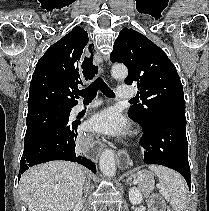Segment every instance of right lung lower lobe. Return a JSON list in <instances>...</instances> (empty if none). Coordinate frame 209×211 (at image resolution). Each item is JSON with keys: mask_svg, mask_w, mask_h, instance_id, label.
Returning a JSON list of instances; mask_svg holds the SVG:
<instances>
[{"mask_svg": "<svg viewBox=\"0 0 209 211\" xmlns=\"http://www.w3.org/2000/svg\"><path fill=\"white\" fill-rule=\"evenodd\" d=\"M79 124V120L64 122L24 147L18 178L29 167L52 160L77 162L96 173V165L75 151L76 130Z\"/></svg>", "mask_w": 209, "mask_h": 211, "instance_id": "obj_1", "label": "right lung lower lobe"}]
</instances>
